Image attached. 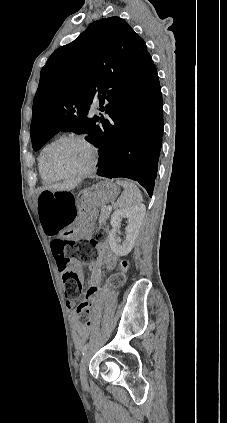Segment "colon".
<instances>
[{"mask_svg":"<svg viewBox=\"0 0 227 423\" xmlns=\"http://www.w3.org/2000/svg\"><path fill=\"white\" fill-rule=\"evenodd\" d=\"M38 211L45 232L48 235L59 236V239L52 243V251L62 277L65 297L68 300H75L82 293L84 282L82 266L94 261L96 257L94 243L104 241L106 232L104 229L97 230L94 240L73 241L68 238L71 233L70 225L76 215L74 197L68 191H42L38 199ZM127 267L126 261L120 263L119 272L112 278L114 284L119 285L124 281ZM95 293V287L86 292L76 311L79 321H87Z\"/></svg>","mask_w":227,"mask_h":423,"instance_id":"colon-1","label":"colon"}]
</instances>
